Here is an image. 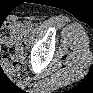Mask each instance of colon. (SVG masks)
I'll use <instances>...</instances> for the list:
<instances>
[{"instance_id":"1","label":"colon","mask_w":93,"mask_h":93,"mask_svg":"<svg viewBox=\"0 0 93 93\" xmlns=\"http://www.w3.org/2000/svg\"><path fill=\"white\" fill-rule=\"evenodd\" d=\"M14 25L15 22H12ZM9 35H12V31L4 28L2 26V39L3 41H6ZM22 61L23 57L22 56H17V55H11L9 57H6L3 60V67L5 69H9L11 71H19V69L22 67Z\"/></svg>"}]
</instances>
